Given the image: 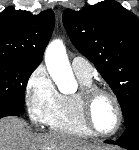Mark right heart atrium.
Listing matches in <instances>:
<instances>
[{"label": "right heart atrium", "mask_w": 139, "mask_h": 150, "mask_svg": "<svg viewBox=\"0 0 139 150\" xmlns=\"http://www.w3.org/2000/svg\"><path fill=\"white\" fill-rule=\"evenodd\" d=\"M58 95L45 68L38 66L30 74L25 85V104L30 119L36 124H45Z\"/></svg>", "instance_id": "obj_1"}]
</instances>
